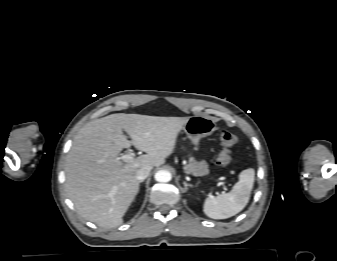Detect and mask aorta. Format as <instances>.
I'll return each instance as SVG.
<instances>
[{"mask_svg": "<svg viewBox=\"0 0 337 261\" xmlns=\"http://www.w3.org/2000/svg\"><path fill=\"white\" fill-rule=\"evenodd\" d=\"M172 176L167 170H159L155 173V180L158 182H169Z\"/></svg>", "mask_w": 337, "mask_h": 261, "instance_id": "aorta-1", "label": "aorta"}]
</instances>
